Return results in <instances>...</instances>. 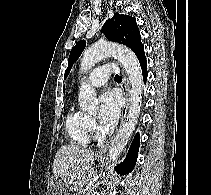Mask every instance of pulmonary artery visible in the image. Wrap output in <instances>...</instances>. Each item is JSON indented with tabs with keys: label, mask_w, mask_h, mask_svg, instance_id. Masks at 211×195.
<instances>
[{
	"label": "pulmonary artery",
	"mask_w": 211,
	"mask_h": 195,
	"mask_svg": "<svg viewBox=\"0 0 211 195\" xmlns=\"http://www.w3.org/2000/svg\"><path fill=\"white\" fill-rule=\"evenodd\" d=\"M118 69L115 64H106L95 68L88 77V82L93 87L104 85L112 73H117Z\"/></svg>",
	"instance_id": "pulmonary-artery-1"
}]
</instances>
